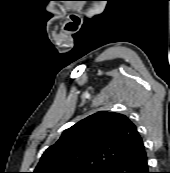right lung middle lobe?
Listing matches in <instances>:
<instances>
[{
	"label": "right lung middle lobe",
	"instance_id": "1",
	"mask_svg": "<svg viewBox=\"0 0 170 173\" xmlns=\"http://www.w3.org/2000/svg\"><path fill=\"white\" fill-rule=\"evenodd\" d=\"M104 170L75 171L74 173H102Z\"/></svg>",
	"mask_w": 170,
	"mask_h": 173
}]
</instances>
